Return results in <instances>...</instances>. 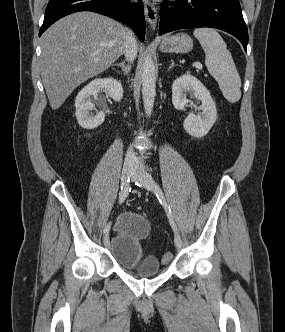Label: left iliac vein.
Masks as SVG:
<instances>
[{
	"label": "left iliac vein",
	"mask_w": 285,
	"mask_h": 332,
	"mask_svg": "<svg viewBox=\"0 0 285 332\" xmlns=\"http://www.w3.org/2000/svg\"><path fill=\"white\" fill-rule=\"evenodd\" d=\"M132 180L139 183L142 187H144L148 191L153 192L155 189L152 177L144 171L134 170L132 172ZM174 243L177 249L182 248L183 242L178 232H175L174 234Z\"/></svg>",
	"instance_id": "4c4485c4"
}]
</instances>
